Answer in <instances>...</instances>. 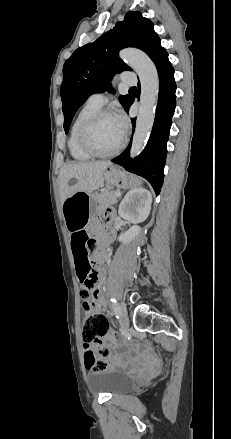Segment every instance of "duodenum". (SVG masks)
I'll return each mask as SVG.
<instances>
[{
	"mask_svg": "<svg viewBox=\"0 0 231 439\" xmlns=\"http://www.w3.org/2000/svg\"><path fill=\"white\" fill-rule=\"evenodd\" d=\"M109 240H107V238H103L102 239V241H101V243L102 244H105L106 242H108ZM95 254H97V255H99V260H100V254H99V252H96ZM96 270H97V272L100 274V273H102V271H103V268H102V266L98 263L97 265H96Z\"/></svg>",
	"mask_w": 231,
	"mask_h": 439,
	"instance_id": "410a0bca",
	"label": "duodenum"
}]
</instances>
